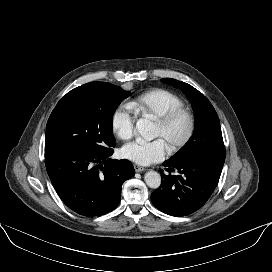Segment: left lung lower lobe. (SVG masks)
Masks as SVG:
<instances>
[{"label": "left lung lower lobe", "mask_w": 272, "mask_h": 272, "mask_svg": "<svg viewBox=\"0 0 272 272\" xmlns=\"http://www.w3.org/2000/svg\"><path fill=\"white\" fill-rule=\"evenodd\" d=\"M162 184L151 194V201L160 211L171 216H186L205 205L216 188L222 166L192 157L167 160L163 163ZM176 171L177 176L171 172Z\"/></svg>", "instance_id": "obj_1"}]
</instances>
